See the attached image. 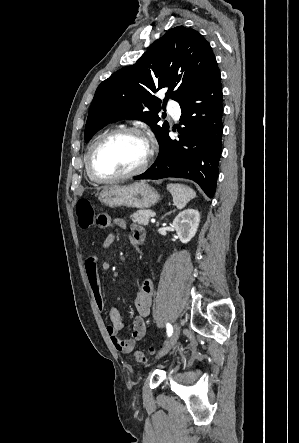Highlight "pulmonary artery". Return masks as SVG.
<instances>
[{
  "label": "pulmonary artery",
  "instance_id": "1",
  "mask_svg": "<svg viewBox=\"0 0 299 443\" xmlns=\"http://www.w3.org/2000/svg\"><path fill=\"white\" fill-rule=\"evenodd\" d=\"M167 109H168V112H169L170 116L173 119L178 120L180 118V107H179L177 102L170 101L168 103Z\"/></svg>",
  "mask_w": 299,
  "mask_h": 443
}]
</instances>
